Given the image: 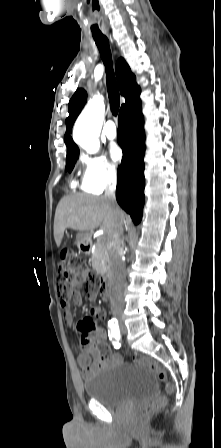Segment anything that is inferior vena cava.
Wrapping results in <instances>:
<instances>
[{
    "label": "inferior vena cava",
    "instance_id": "1",
    "mask_svg": "<svg viewBox=\"0 0 221 448\" xmlns=\"http://www.w3.org/2000/svg\"><path fill=\"white\" fill-rule=\"evenodd\" d=\"M116 189V175L111 174V177L107 181V188L105 191V198L116 207L115 198ZM123 223H119L115 231L112 233L109 256L110 267L112 274V309L116 315L122 313L123 300L121 290L125 282V267L122 261L123 256Z\"/></svg>",
    "mask_w": 221,
    "mask_h": 448
}]
</instances>
